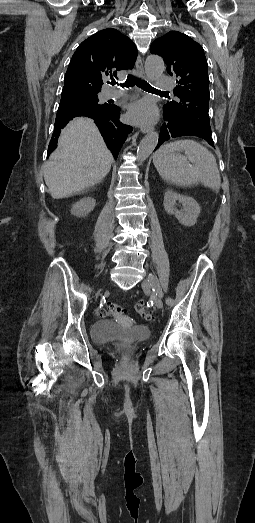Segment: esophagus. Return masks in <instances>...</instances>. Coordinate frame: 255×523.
Instances as JSON below:
<instances>
[{"instance_id": "obj_1", "label": "esophagus", "mask_w": 255, "mask_h": 523, "mask_svg": "<svg viewBox=\"0 0 255 523\" xmlns=\"http://www.w3.org/2000/svg\"><path fill=\"white\" fill-rule=\"evenodd\" d=\"M135 66H136V74L138 75V77H141V79H144V81H145L144 67H143V63H142V59H141L140 55H138V57H137ZM151 131H152L151 126H141L142 133H149Z\"/></svg>"}]
</instances>
